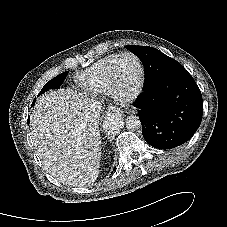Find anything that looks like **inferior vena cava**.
<instances>
[{"label":"inferior vena cava","instance_id":"inferior-vena-cava-1","mask_svg":"<svg viewBox=\"0 0 227 227\" xmlns=\"http://www.w3.org/2000/svg\"><path fill=\"white\" fill-rule=\"evenodd\" d=\"M91 108L93 110V115L95 117H98L100 115V113H101V106H100V104L98 102L97 103H93L91 105Z\"/></svg>","mask_w":227,"mask_h":227}]
</instances>
